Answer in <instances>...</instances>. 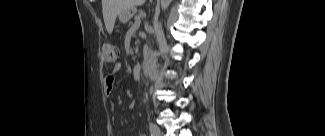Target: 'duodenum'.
<instances>
[{"instance_id":"duodenum-1","label":"duodenum","mask_w":325,"mask_h":136,"mask_svg":"<svg viewBox=\"0 0 325 136\" xmlns=\"http://www.w3.org/2000/svg\"><path fill=\"white\" fill-rule=\"evenodd\" d=\"M142 72V65L141 64H136L132 68V74L134 78H139Z\"/></svg>"}]
</instances>
